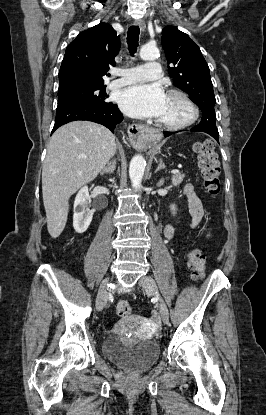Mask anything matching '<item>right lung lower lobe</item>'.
Returning a JSON list of instances; mask_svg holds the SVG:
<instances>
[{
    "mask_svg": "<svg viewBox=\"0 0 266 415\" xmlns=\"http://www.w3.org/2000/svg\"><path fill=\"white\" fill-rule=\"evenodd\" d=\"M76 120L96 122L114 132L116 124L123 120V115L113 103L105 106L90 103L58 104L52 133L61 125Z\"/></svg>",
    "mask_w": 266,
    "mask_h": 415,
    "instance_id": "right-lung-lower-lobe-1",
    "label": "right lung lower lobe"
}]
</instances>
